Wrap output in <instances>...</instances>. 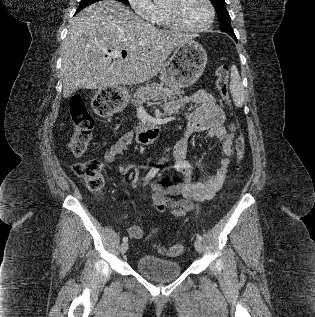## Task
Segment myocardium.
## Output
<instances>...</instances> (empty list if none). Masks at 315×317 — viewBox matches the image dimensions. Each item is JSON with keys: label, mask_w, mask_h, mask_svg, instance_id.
Returning <instances> with one entry per match:
<instances>
[{"label": "myocardium", "mask_w": 315, "mask_h": 317, "mask_svg": "<svg viewBox=\"0 0 315 317\" xmlns=\"http://www.w3.org/2000/svg\"><path fill=\"white\" fill-rule=\"evenodd\" d=\"M179 0H175V2H178ZM204 2L206 3L208 10H209V18L207 20V22L199 27H191V26H187L185 24H183L177 17L176 15V11L174 7H164V12L167 18V21L169 22V24L179 30L182 31H186V32H203L206 31L207 29H209L215 19V8L211 2V0H204Z\"/></svg>", "instance_id": "myocardium-1"}]
</instances>
